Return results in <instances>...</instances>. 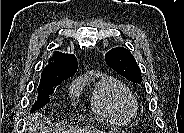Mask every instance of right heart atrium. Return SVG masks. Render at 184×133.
<instances>
[{"instance_id": "d8ad5b80", "label": "right heart atrium", "mask_w": 184, "mask_h": 133, "mask_svg": "<svg viewBox=\"0 0 184 133\" xmlns=\"http://www.w3.org/2000/svg\"><path fill=\"white\" fill-rule=\"evenodd\" d=\"M78 89H79L78 85H75V86L73 87V91H74V92H77Z\"/></svg>"}]
</instances>
